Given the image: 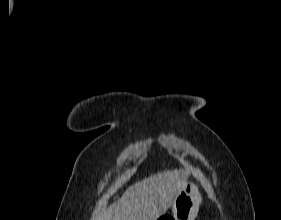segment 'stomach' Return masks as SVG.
Instances as JSON below:
<instances>
[{"label": "stomach", "instance_id": "obj_1", "mask_svg": "<svg viewBox=\"0 0 281 220\" xmlns=\"http://www.w3.org/2000/svg\"><path fill=\"white\" fill-rule=\"evenodd\" d=\"M201 200L198 187L192 182H187L172 203V215L168 218L162 216L160 220H195Z\"/></svg>", "mask_w": 281, "mask_h": 220}]
</instances>
